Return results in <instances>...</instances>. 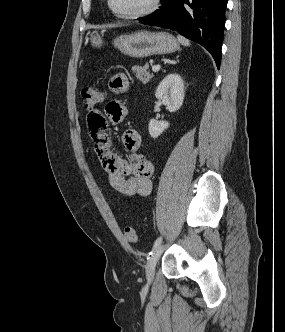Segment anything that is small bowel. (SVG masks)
I'll return each mask as SVG.
<instances>
[{
    "mask_svg": "<svg viewBox=\"0 0 285 332\" xmlns=\"http://www.w3.org/2000/svg\"><path fill=\"white\" fill-rule=\"evenodd\" d=\"M129 86V80L123 73L113 75L109 81L111 91L116 94L128 92ZM126 116V107L119 101H111L106 107H99L88 114L89 134L111 188L127 196H147L152 190L154 165L138 152L141 145L140 134L133 129L123 132L121 142L127 152L126 158L114 151L106 134L107 122L117 125L123 122Z\"/></svg>",
    "mask_w": 285,
    "mask_h": 332,
    "instance_id": "small-bowel-1",
    "label": "small bowel"
}]
</instances>
